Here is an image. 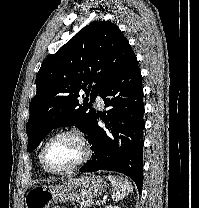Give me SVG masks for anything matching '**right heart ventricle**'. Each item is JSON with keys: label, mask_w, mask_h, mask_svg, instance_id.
<instances>
[{"label": "right heart ventricle", "mask_w": 199, "mask_h": 208, "mask_svg": "<svg viewBox=\"0 0 199 208\" xmlns=\"http://www.w3.org/2000/svg\"><path fill=\"white\" fill-rule=\"evenodd\" d=\"M41 150H42V149H41ZM41 150H40V152H39V154H38L39 163H40V165L42 166V168H43L45 171H47L46 168L44 167L43 163H42V160H41Z\"/></svg>", "instance_id": "e07e8e85"}]
</instances>
